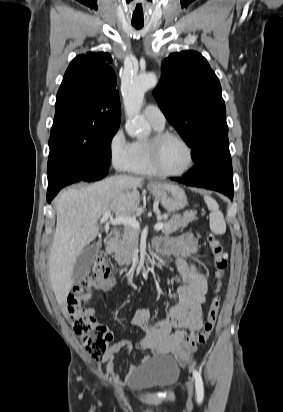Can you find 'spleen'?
<instances>
[{"mask_svg":"<svg viewBox=\"0 0 283 412\" xmlns=\"http://www.w3.org/2000/svg\"><path fill=\"white\" fill-rule=\"evenodd\" d=\"M204 200L211 211L209 215L211 231L218 235L224 234L226 232V222L223 213L219 210L218 203L209 196H204Z\"/></svg>","mask_w":283,"mask_h":412,"instance_id":"obj_1","label":"spleen"}]
</instances>
